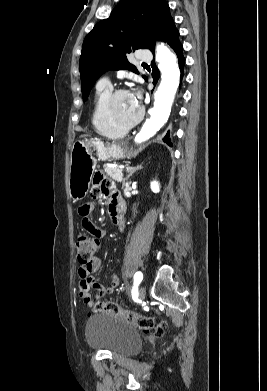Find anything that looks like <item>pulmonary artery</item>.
<instances>
[{
  "label": "pulmonary artery",
  "instance_id": "pulmonary-artery-1",
  "mask_svg": "<svg viewBox=\"0 0 267 391\" xmlns=\"http://www.w3.org/2000/svg\"><path fill=\"white\" fill-rule=\"evenodd\" d=\"M152 58V55L151 53L148 51V50H143L141 51L140 55H139V59L142 61V62H148L150 61ZM111 84H110V81L108 79V77L104 76V77H101L97 83V88L99 87H110Z\"/></svg>",
  "mask_w": 267,
  "mask_h": 391
}]
</instances>
